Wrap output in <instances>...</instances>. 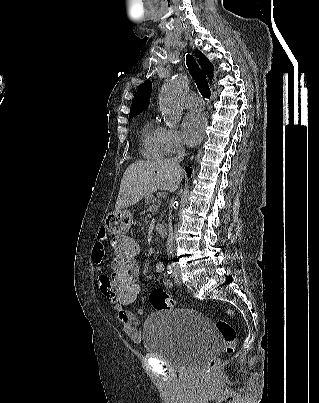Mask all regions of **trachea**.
<instances>
[{"label":"trachea","instance_id":"obj_1","mask_svg":"<svg viewBox=\"0 0 319 403\" xmlns=\"http://www.w3.org/2000/svg\"><path fill=\"white\" fill-rule=\"evenodd\" d=\"M186 63L190 74L192 75L195 83L199 89V92L204 98L209 99L211 96V91L208 85V81L204 72L200 69L196 63L194 57L190 54L187 55Z\"/></svg>","mask_w":319,"mask_h":403}]
</instances>
